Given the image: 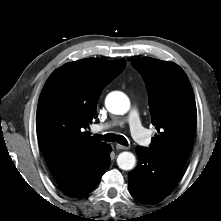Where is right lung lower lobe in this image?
Returning <instances> with one entry per match:
<instances>
[{"instance_id":"98d812e1","label":"right lung lower lobe","mask_w":221,"mask_h":221,"mask_svg":"<svg viewBox=\"0 0 221 221\" xmlns=\"http://www.w3.org/2000/svg\"><path fill=\"white\" fill-rule=\"evenodd\" d=\"M109 164L110 155L108 153L104 162L101 165H99L96 169L71 180L69 183L59 184V186L61 187L62 191L69 196H84L95 189V187L100 182L102 175L108 169Z\"/></svg>"}]
</instances>
